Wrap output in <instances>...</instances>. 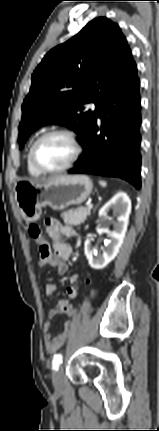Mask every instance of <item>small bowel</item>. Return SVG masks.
<instances>
[{
	"mask_svg": "<svg viewBox=\"0 0 159 431\" xmlns=\"http://www.w3.org/2000/svg\"><path fill=\"white\" fill-rule=\"evenodd\" d=\"M45 232L49 240L46 238L44 249H41L40 243L36 241L40 249L39 266L44 267L49 265L56 267L57 273L59 275H64L69 268L68 260L71 256L72 249L70 245L63 242L62 237H73L76 232L73 227L63 225L56 219H47L45 221ZM77 281V274H73L69 277V286L66 289V293L70 299H77L79 297V292L75 287ZM57 290L58 287L55 284L46 285L45 291L49 297H52ZM68 310H74V307L68 300L61 299L58 300L54 308L48 311V319L43 325L44 346L48 354H55L64 345L69 332V322H66L63 330L58 335L52 336L50 332V320L58 314L67 315Z\"/></svg>",
	"mask_w": 159,
	"mask_h": 431,
	"instance_id": "small-bowel-1",
	"label": "small bowel"
}]
</instances>
